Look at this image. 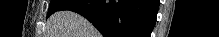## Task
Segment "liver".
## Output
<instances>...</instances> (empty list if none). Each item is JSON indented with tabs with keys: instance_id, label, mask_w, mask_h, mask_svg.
I'll return each mask as SVG.
<instances>
[{
	"instance_id": "obj_1",
	"label": "liver",
	"mask_w": 219,
	"mask_h": 37,
	"mask_svg": "<svg viewBox=\"0 0 219 37\" xmlns=\"http://www.w3.org/2000/svg\"><path fill=\"white\" fill-rule=\"evenodd\" d=\"M49 37H97L92 24L81 15L68 11H58L47 23Z\"/></svg>"
}]
</instances>
